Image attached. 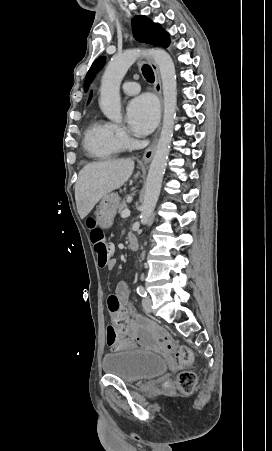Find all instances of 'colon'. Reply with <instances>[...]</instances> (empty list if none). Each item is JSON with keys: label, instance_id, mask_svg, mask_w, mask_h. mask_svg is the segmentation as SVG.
I'll return each instance as SVG.
<instances>
[{"label": "colon", "instance_id": "obj_1", "mask_svg": "<svg viewBox=\"0 0 272 451\" xmlns=\"http://www.w3.org/2000/svg\"><path fill=\"white\" fill-rule=\"evenodd\" d=\"M94 219H88V226H92ZM90 238L97 254V264L100 267L106 266L110 260L112 253L111 241L104 239V232L101 229H91ZM106 348H124L127 342L124 339H118L117 327L115 325L106 328ZM135 347V346H134ZM183 345L177 342H166L165 350L169 351L173 357V367H183L189 365L194 358V351L182 349ZM176 386L185 393H191L196 386V375L193 371L182 370L178 373Z\"/></svg>", "mask_w": 272, "mask_h": 451}]
</instances>
